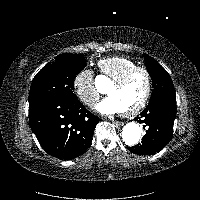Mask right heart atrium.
<instances>
[{
  "label": "right heart atrium",
  "mask_w": 200,
  "mask_h": 200,
  "mask_svg": "<svg viewBox=\"0 0 200 200\" xmlns=\"http://www.w3.org/2000/svg\"><path fill=\"white\" fill-rule=\"evenodd\" d=\"M73 89L79 100L88 107H93L100 97L91 69H81L73 78Z\"/></svg>",
  "instance_id": "obj_1"
}]
</instances>
